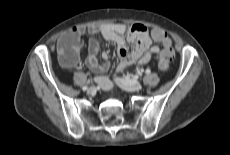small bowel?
Instances as JSON below:
<instances>
[{
	"label": "small bowel",
	"instance_id": "obj_1",
	"mask_svg": "<svg viewBox=\"0 0 230 155\" xmlns=\"http://www.w3.org/2000/svg\"><path fill=\"white\" fill-rule=\"evenodd\" d=\"M155 30L161 29H153L151 33H149L146 26L142 24H134L127 31L126 36H124L126 28L123 24L75 27L67 34L62 36L59 39V43L65 41L69 37H77L79 42L76 46V51H78L81 48L80 37L85 33L90 34L91 37L88 41V56L86 59V64L92 71L105 72L110 67V61L108 60L106 54L103 55V62L98 61L96 56L99 51V42L93 36L97 33H100L105 40L116 44L117 52L120 58V63L117 67V71L121 72L127 66L136 62L140 64H146L150 61L153 55L161 53L160 47L152 45L151 38L160 43L163 46V49L166 47H172V41L168 36L162 41L156 40L153 37V32ZM127 43L133 44L131 50H128ZM96 81L104 90H108L112 87V82L107 77H98Z\"/></svg>",
	"mask_w": 230,
	"mask_h": 155
}]
</instances>
